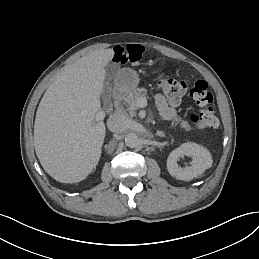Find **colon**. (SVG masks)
<instances>
[{"label":"colon","instance_id":"5ec220e1","mask_svg":"<svg viewBox=\"0 0 259 259\" xmlns=\"http://www.w3.org/2000/svg\"><path fill=\"white\" fill-rule=\"evenodd\" d=\"M158 86L172 104L180 103L186 93L190 94L199 106V111L191 115V121L198 129L218 126L219 121L213 107V96L205 80L197 79L188 86L183 79L161 77Z\"/></svg>","mask_w":259,"mask_h":259}]
</instances>
